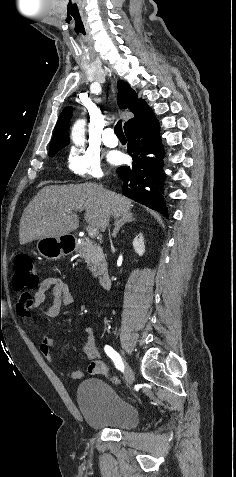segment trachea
Listing matches in <instances>:
<instances>
[{
    "label": "trachea",
    "mask_w": 236,
    "mask_h": 477,
    "mask_svg": "<svg viewBox=\"0 0 236 477\" xmlns=\"http://www.w3.org/2000/svg\"><path fill=\"white\" fill-rule=\"evenodd\" d=\"M115 134L117 135L118 138H125V135L122 129V120H119L117 124L115 125Z\"/></svg>",
    "instance_id": "1"
}]
</instances>
